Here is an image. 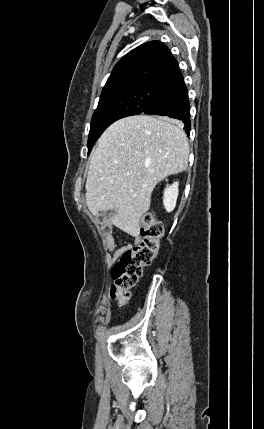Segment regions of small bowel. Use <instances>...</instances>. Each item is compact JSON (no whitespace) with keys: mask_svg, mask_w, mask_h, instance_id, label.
<instances>
[{"mask_svg":"<svg viewBox=\"0 0 264 429\" xmlns=\"http://www.w3.org/2000/svg\"><path fill=\"white\" fill-rule=\"evenodd\" d=\"M129 235L134 238V244H138L140 238L138 236L137 231L135 230H125ZM102 237L105 247L110 251L107 258L109 261L116 260L124 251L131 249L132 244H127L123 247L117 248L116 240L112 232V228L109 226H105L102 229Z\"/></svg>","mask_w":264,"mask_h":429,"instance_id":"obj_1","label":"small bowel"}]
</instances>
